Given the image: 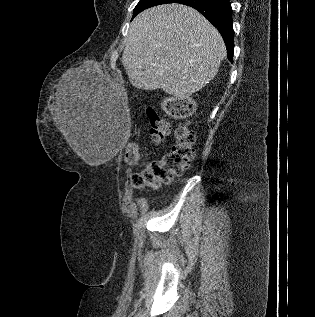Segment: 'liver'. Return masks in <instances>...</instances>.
<instances>
[{
    "label": "liver",
    "instance_id": "obj_1",
    "mask_svg": "<svg viewBox=\"0 0 315 317\" xmlns=\"http://www.w3.org/2000/svg\"><path fill=\"white\" fill-rule=\"evenodd\" d=\"M226 56L224 41L195 9L168 4L137 15L130 24L122 63L129 82L187 99L212 80ZM54 122L75 153L83 156V121L71 90L57 91Z\"/></svg>",
    "mask_w": 315,
    "mask_h": 317
}]
</instances>
